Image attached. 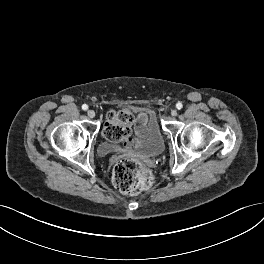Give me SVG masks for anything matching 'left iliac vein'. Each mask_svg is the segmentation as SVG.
Here are the masks:
<instances>
[{"label":"left iliac vein","mask_w":264,"mask_h":264,"mask_svg":"<svg viewBox=\"0 0 264 264\" xmlns=\"http://www.w3.org/2000/svg\"><path fill=\"white\" fill-rule=\"evenodd\" d=\"M171 115H172L173 117L177 116V115H178L177 110H172Z\"/></svg>","instance_id":"4c4485c4"}]
</instances>
